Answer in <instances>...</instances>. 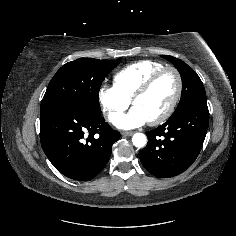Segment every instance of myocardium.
Here are the masks:
<instances>
[{"label":"myocardium","mask_w":236,"mask_h":236,"mask_svg":"<svg viewBox=\"0 0 236 236\" xmlns=\"http://www.w3.org/2000/svg\"><path fill=\"white\" fill-rule=\"evenodd\" d=\"M168 72L172 73L176 78V83H177L176 92H175V95H174L170 105L168 106V108L159 117H157L151 121H148L149 124L152 126H156V125H160V124L164 123L174 113V111L180 101L182 92H183V79H182L180 72L175 67H164L163 69L159 70L158 72L153 74L151 77H149L145 81V83L135 92V94L131 98V104L134 105V103L137 99H139L140 97H142L146 93H148L150 91V89L153 87V85L164 74H166Z\"/></svg>","instance_id":"f54148a6"}]
</instances>
